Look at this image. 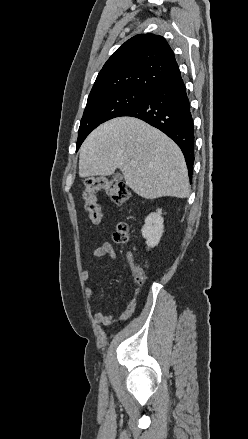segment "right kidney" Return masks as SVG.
I'll return each instance as SVG.
<instances>
[{
	"instance_id": "right-kidney-1",
	"label": "right kidney",
	"mask_w": 248,
	"mask_h": 439,
	"mask_svg": "<svg viewBox=\"0 0 248 439\" xmlns=\"http://www.w3.org/2000/svg\"><path fill=\"white\" fill-rule=\"evenodd\" d=\"M162 210L149 214L145 219V224L141 229L142 236L146 239L149 248H154L160 242L164 232V219L161 216Z\"/></svg>"
}]
</instances>
